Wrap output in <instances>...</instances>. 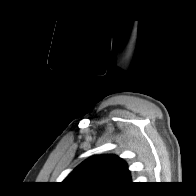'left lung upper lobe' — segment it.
<instances>
[{
  "mask_svg": "<svg viewBox=\"0 0 196 196\" xmlns=\"http://www.w3.org/2000/svg\"><path fill=\"white\" fill-rule=\"evenodd\" d=\"M131 182L126 163L115 155L91 157L75 168L64 183L84 190L119 188Z\"/></svg>",
  "mask_w": 196,
  "mask_h": 196,
  "instance_id": "obj_1",
  "label": "left lung upper lobe"
}]
</instances>
